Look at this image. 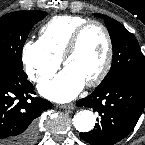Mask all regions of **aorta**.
<instances>
[{"instance_id":"762f6f07","label":"aorta","mask_w":145,"mask_h":145,"mask_svg":"<svg viewBox=\"0 0 145 145\" xmlns=\"http://www.w3.org/2000/svg\"><path fill=\"white\" fill-rule=\"evenodd\" d=\"M95 123V114L90 110L79 111L73 117V125L79 132H89L93 129Z\"/></svg>"}]
</instances>
